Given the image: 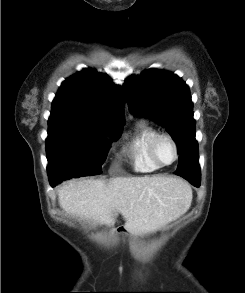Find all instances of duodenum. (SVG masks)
<instances>
[{
	"instance_id": "410a0bca",
	"label": "duodenum",
	"mask_w": 245,
	"mask_h": 293,
	"mask_svg": "<svg viewBox=\"0 0 245 293\" xmlns=\"http://www.w3.org/2000/svg\"><path fill=\"white\" fill-rule=\"evenodd\" d=\"M117 232L120 234H124L127 232V230L124 227H119V228H117Z\"/></svg>"
}]
</instances>
